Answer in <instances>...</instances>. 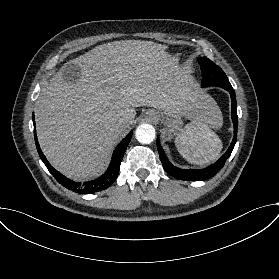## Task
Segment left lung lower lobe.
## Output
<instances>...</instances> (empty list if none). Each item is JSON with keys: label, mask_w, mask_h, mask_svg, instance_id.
Instances as JSON below:
<instances>
[{"label": "left lung lower lobe", "mask_w": 279, "mask_h": 279, "mask_svg": "<svg viewBox=\"0 0 279 279\" xmlns=\"http://www.w3.org/2000/svg\"><path fill=\"white\" fill-rule=\"evenodd\" d=\"M226 90L230 93L231 95V100H232V105H231V116L233 120V125H234V137L233 140L226 151L225 154L222 155V157L215 162L214 164L201 169V170H184V169H179L175 166H173L169 160L167 159L164 151L161 148L159 139H157V148L159 152V156L163 165V168L165 171L180 180H187V181H202L209 179L216 175L221 168L224 166L226 160L229 158L231 155V152L235 146L236 140H237V129H238V117H237V103H236V97H235V92L232 87L226 88Z\"/></svg>", "instance_id": "0a47b994"}]
</instances>
